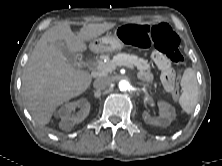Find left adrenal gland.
<instances>
[{"label":"left adrenal gland","instance_id":"obj_1","mask_svg":"<svg viewBox=\"0 0 222 166\" xmlns=\"http://www.w3.org/2000/svg\"><path fill=\"white\" fill-rule=\"evenodd\" d=\"M138 85L147 86L146 84H144V83H142V82H138Z\"/></svg>","mask_w":222,"mask_h":166}]
</instances>
